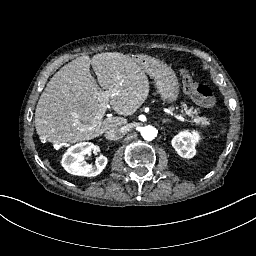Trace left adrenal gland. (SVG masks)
Instances as JSON below:
<instances>
[{
    "instance_id": "1",
    "label": "left adrenal gland",
    "mask_w": 256,
    "mask_h": 256,
    "mask_svg": "<svg viewBox=\"0 0 256 256\" xmlns=\"http://www.w3.org/2000/svg\"><path fill=\"white\" fill-rule=\"evenodd\" d=\"M166 122H167V123H171L172 121L169 119V120H167Z\"/></svg>"
}]
</instances>
